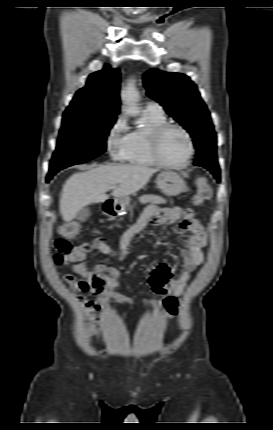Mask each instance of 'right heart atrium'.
Returning <instances> with one entry per match:
<instances>
[{"label": "right heart atrium", "instance_id": "obj_1", "mask_svg": "<svg viewBox=\"0 0 273 430\" xmlns=\"http://www.w3.org/2000/svg\"><path fill=\"white\" fill-rule=\"evenodd\" d=\"M126 128L125 119L119 117L110 127L106 137L107 150L116 161H124L128 153L130 137Z\"/></svg>", "mask_w": 273, "mask_h": 430}]
</instances>
